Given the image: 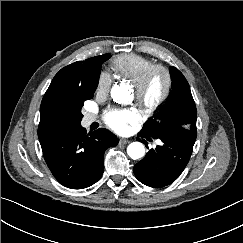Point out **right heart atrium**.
I'll return each mask as SVG.
<instances>
[{"label":"right heart atrium","instance_id":"d8ad5b80","mask_svg":"<svg viewBox=\"0 0 243 243\" xmlns=\"http://www.w3.org/2000/svg\"><path fill=\"white\" fill-rule=\"evenodd\" d=\"M111 83L110 75L105 71H101L97 78L96 93L98 95H106L110 90Z\"/></svg>","mask_w":243,"mask_h":243}]
</instances>
